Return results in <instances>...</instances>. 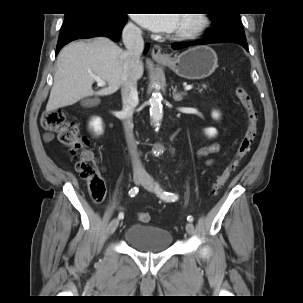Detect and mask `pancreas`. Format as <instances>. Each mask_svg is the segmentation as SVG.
Masks as SVG:
<instances>
[{"label": "pancreas", "instance_id": "1", "mask_svg": "<svg viewBox=\"0 0 303 303\" xmlns=\"http://www.w3.org/2000/svg\"><path fill=\"white\" fill-rule=\"evenodd\" d=\"M202 88L206 89V88H207V85L203 84V85H202ZM199 90L201 91L202 89H199Z\"/></svg>", "mask_w": 303, "mask_h": 303}]
</instances>
